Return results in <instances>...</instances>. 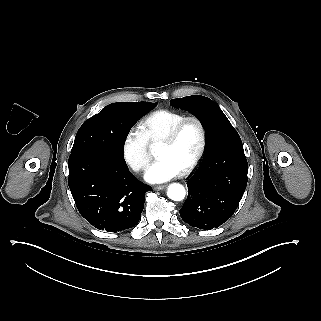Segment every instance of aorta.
I'll use <instances>...</instances> for the list:
<instances>
[{
  "label": "aorta",
  "instance_id": "aorta-1",
  "mask_svg": "<svg viewBox=\"0 0 321 321\" xmlns=\"http://www.w3.org/2000/svg\"><path fill=\"white\" fill-rule=\"evenodd\" d=\"M186 191L183 185L173 183L168 187L167 196L174 201H181L184 199Z\"/></svg>",
  "mask_w": 321,
  "mask_h": 321
}]
</instances>
